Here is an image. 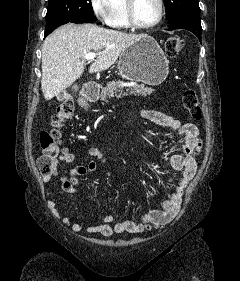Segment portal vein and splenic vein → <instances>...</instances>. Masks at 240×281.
<instances>
[{"label": "portal vein and splenic vein", "instance_id": "1", "mask_svg": "<svg viewBox=\"0 0 240 281\" xmlns=\"http://www.w3.org/2000/svg\"><path fill=\"white\" fill-rule=\"evenodd\" d=\"M97 55L98 54H96V53H87V54H85L84 59L87 61H93Z\"/></svg>", "mask_w": 240, "mask_h": 281}]
</instances>
